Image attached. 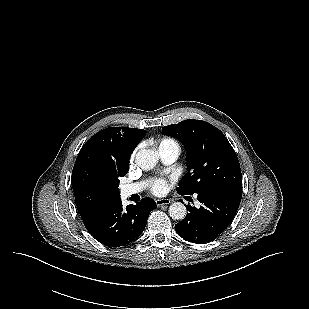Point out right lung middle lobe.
<instances>
[{"mask_svg": "<svg viewBox=\"0 0 309 309\" xmlns=\"http://www.w3.org/2000/svg\"><path fill=\"white\" fill-rule=\"evenodd\" d=\"M126 173H127V172H124V173H122V174H120V175H116V176L114 177V180H113V181H114V185H115V187H116L117 190H118V185H119V179H118V178H119L120 176L126 175Z\"/></svg>", "mask_w": 309, "mask_h": 309, "instance_id": "obj_1", "label": "right lung middle lobe"}]
</instances>
